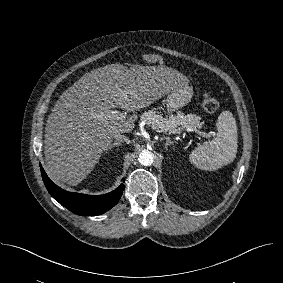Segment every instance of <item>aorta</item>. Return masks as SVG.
Instances as JSON below:
<instances>
[{"mask_svg":"<svg viewBox=\"0 0 283 283\" xmlns=\"http://www.w3.org/2000/svg\"><path fill=\"white\" fill-rule=\"evenodd\" d=\"M138 161L141 165L150 166L154 161V155L149 150H142L139 154Z\"/></svg>","mask_w":283,"mask_h":283,"instance_id":"762f6f07","label":"aorta"}]
</instances>
